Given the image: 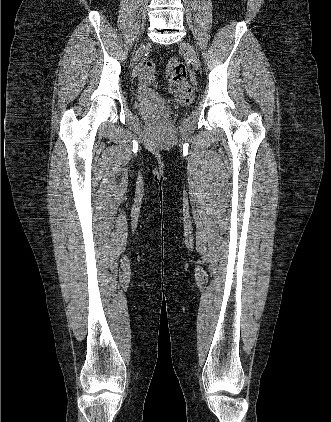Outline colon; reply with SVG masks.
Wrapping results in <instances>:
<instances>
[{"label": "colon", "instance_id": "1", "mask_svg": "<svg viewBox=\"0 0 331 422\" xmlns=\"http://www.w3.org/2000/svg\"><path fill=\"white\" fill-rule=\"evenodd\" d=\"M155 72L151 61L145 62L140 70V75L146 80H153ZM170 92L176 96L181 104H187L192 99V87L187 81V68L177 59H171L167 65Z\"/></svg>", "mask_w": 331, "mask_h": 422}]
</instances>
